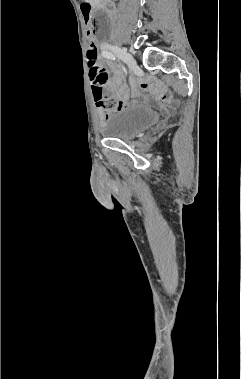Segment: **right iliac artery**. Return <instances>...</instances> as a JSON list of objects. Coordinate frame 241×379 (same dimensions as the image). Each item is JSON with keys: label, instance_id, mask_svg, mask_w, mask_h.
<instances>
[{"label": "right iliac artery", "instance_id": "1", "mask_svg": "<svg viewBox=\"0 0 241 379\" xmlns=\"http://www.w3.org/2000/svg\"><path fill=\"white\" fill-rule=\"evenodd\" d=\"M102 56L107 58V59L116 60L115 55H113L111 52H109L107 50L102 51Z\"/></svg>", "mask_w": 241, "mask_h": 379}]
</instances>
